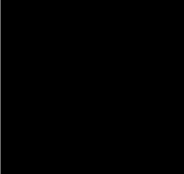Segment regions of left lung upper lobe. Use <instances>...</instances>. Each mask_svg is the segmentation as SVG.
Segmentation results:
<instances>
[{"mask_svg": "<svg viewBox=\"0 0 184 174\" xmlns=\"http://www.w3.org/2000/svg\"><path fill=\"white\" fill-rule=\"evenodd\" d=\"M114 76L120 93L129 101V122L164 131L173 108L166 81L134 52L116 58Z\"/></svg>", "mask_w": 184, "mask_h": 174, "instance_id": "left-lung-upper-lobe-1", "label": "left lung upper lobe"}]
</instances>
